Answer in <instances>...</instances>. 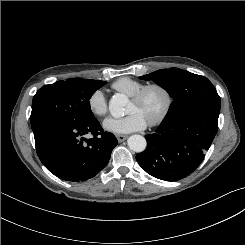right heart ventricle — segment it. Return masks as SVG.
Wrapping results in <instances>:
<instances>
[{
	"label": "right heart ventricle",
	"instance_id": "obj_1",
	"mask_svg": "<svg viewBox=\"0 0 245 245\" xmlns=\"http://www.w3.org/2000/svg\"><path fill=\"white\" fill-rule=\"evenodd\" d=\"M145 84L141 81L130 77H121L113 82L112 88L120 93L126 94L127 96H133L138 92Z\"/></svg>",
	"mask_w": 245,
	"mask_h": 245
}]
</instances>
